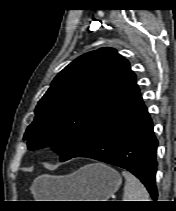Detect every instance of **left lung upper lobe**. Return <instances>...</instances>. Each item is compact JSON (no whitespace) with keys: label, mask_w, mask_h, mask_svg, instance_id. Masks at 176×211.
Returning <instances> with one entry per match:
<instances>
[{"label":"left lung upper lobe","mask_w":176,"mask_h":211,"mask_svg":"<svg viewBox=\"0 0 176 211\" xmlns=\"http://www.w3.org/2000/svg\"><path fill=\"white\" fill-rule=\"evenodd\" d=\"M140 96L129 62L113 48L88 52L66 66L38 102L24 139L51 146L66 161L114 113Z\"/></svg>","instance_id":"5c2ea615"}]
</instances>
